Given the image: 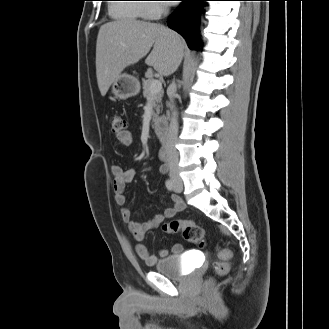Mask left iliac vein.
<instances>
[{
	"label": "left iliac vein",
	"mask_w": 329,
	"mask_h": 329,
	"mask_svg": "<svg viewBox=\"0 0 329 329\" xmlns=\"http://www.w3.org/2000/svg\"><path fill=\"white\" fill-rule=\"evenodd\" d=\"M181 190H182V185H181V183L176 182V183H175V186H174V191L177 192V193H179V192H181Z\"/></svg>",
	"instance_id": "4c4485c4"
}]
</instances>
